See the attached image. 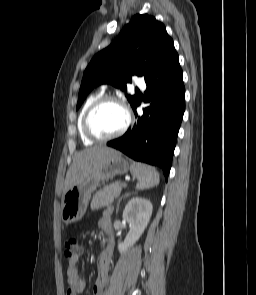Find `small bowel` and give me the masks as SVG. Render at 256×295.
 Returning <instances> with one entry per match:
<instances>
[{
	"label": "small bowel",
	"instance_id": "1",
	"mask_svg": "<svg viewBox=\"0 0 256 295\" xmlns=\"http://www.w3.org/2000/svg\"><path fill=\"white\" fill-rule=\"evenodd\" d=\"M99 226L107 236V243L105 248L101 251V253L98 256L97 279L92 288V295H103V292L108 282L110 263L114 249L112 224L108 212H106V214L101 218ZM77 263L78 258L69 261L67 266L66 274L68 284V295H80L85 291L86 288L85 280L79 275Z\"/></svg>",
	"mask_w": 256,
	"mask_h": 295
}]
</instances>
